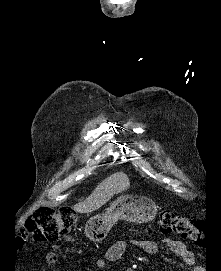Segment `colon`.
Returning <instances> with one entry per match:
<instances>
[{"mask_svg": "<svg viewBox=\"0 0 221 271\" xmlns=\"http://www.w3.org/2000/svg\"><path fill=\"white\" fill-rule=\"evenodd\" d=\"M76 220L77 213L70 206L63 205L58 210L50 206H41L28 217L25 228L19 234V241L51 242L60 236H70ZM159 227L163 232L180 235L192 242L203 243L205 239L202 222L170 211L160 213ZM46 260L49 264H54L57 255L49 252Z\"/></svg>", "mask_w": 221, "mask_h": 271, "instance_id": "1", "label": "colon"}]
</instances>
